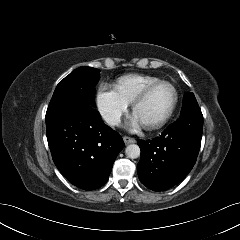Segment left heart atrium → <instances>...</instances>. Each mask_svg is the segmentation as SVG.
Here are the masks:
<instances>
[{
    "instance_id": "left-heart-atrium-1",
    "label": "left heart atrium",
    "mask_w": 240,
    "mask_h": 240,
    "mask_svg": "<svg viewBox=\"0 0 240 240\" xmlns=\"http://www.w3.org/2000/svg\"><path fill=\"white\" fill-rule=\"evenodd\" d=\"M142 125H144L143 122L137 117L136 114H134L131 121L127 124V129L130 131H137Z\"/></svg>"
}]
</instances>
